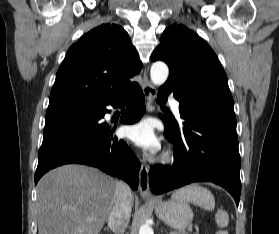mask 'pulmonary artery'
<instances>
[{"mask_svg":"<svg viewBox=\"0 0 279 234\" xmlns=\"http://www.w3.org/2000/svg\"><path fill=\"white\" fill-rule=\"evenodd\" d=\"M169 104H170V107H171V110L173 111V113L178 118H180L179 102L176 99L171 98L169 101Z\"/></svg>","mask_w":279,"mask_h":234,"instance_id":"obj_1","label":"pulmonary artery"}]
</instances>
